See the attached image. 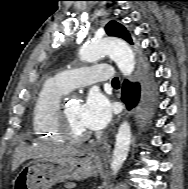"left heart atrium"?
Listing matches in <instances>:
<instances>
[{
  "instance_id": "1",
  "label": "left heart atrium",
  "mask_w": 188,
  "mask_h": 189,
  "mask_svg": "<svg viewBox=\"0 0 188 189\" xmlns=\"http://www.w3.org/2000/svg\"><path fill=\"white\" fill-rule=\"evenodd\" d=\"M111 118L110 102L98 90H92L81 105L80 120L82 124L92 131L103 129Z\"/></svg>"
}]
</instances>
